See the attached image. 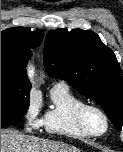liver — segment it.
<instances>
[{
    "instance_id": "6515ba94",
    "label": "liver",
    "mask_w": 123,
    "mask_h": 152,
    "mask_svg": "<svg viewBox=\"0 0 123 152\" xmlns=\"http://www.w3.org/2000/svg\"><path fill=\"white\" fill-rule=\"evenodd\" d=\"M1 152H81L78 148L57 141L1 131Z\"/></svg>"
}]
</instances>
